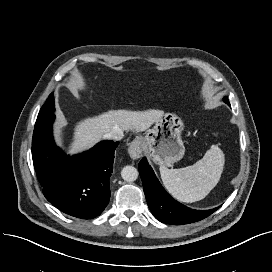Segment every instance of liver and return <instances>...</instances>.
<instances>
[{
  "label": "liver",
  "mask_w": 272,
  "mask_h": 272,
  "mask_svg": "<svg viewBox=\"0 0 272 272\" xmlns=\"http://www.w3.org/2000/svg\"><path fill=\"white\" fill-rule=\"evenodd\" d=\"M163 114L160 110L128 111L109 110L77 122L73 140L69 146L70 154H77L93 147L114 127L123 131L142 132L151 127Z\"/></svg>",
  "instance_id": "obj_1"
}]
</instances>
